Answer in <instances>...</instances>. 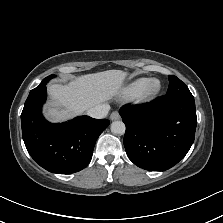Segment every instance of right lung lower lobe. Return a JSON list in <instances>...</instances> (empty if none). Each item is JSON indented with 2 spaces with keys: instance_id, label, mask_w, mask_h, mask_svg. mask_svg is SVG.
<instances>
[{
  "instance_id": "98d812e1",
  "label": "right lung lower lobe",
  "mask_w": 223,
  "mask_h": 223,
  "mask_svg": "<svg viewBox=\"0 0 223 223\" xmlns=\"http://www.w3.org/2000/svg\"><path fill=\"white\" fill-rule=\"evenodd\" d=\"M46 84L31 90L24 104L21 125L25 146L36 163L49 172H78L90 162L96 140L110 122L79 116L61 124L49 123L42 115Z\"/></svg>"
}]
</instances>
